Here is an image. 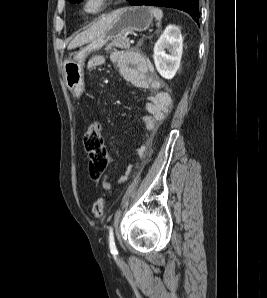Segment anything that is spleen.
<instances>
[{
    "instance_id": "3e777b00",
    "label": "spleen",
    "mask_w": 267,
    "mask_h": 298,
    "mask_svg": "<svg viewBox=\"0 0 267 298\" xmlns=\"http://www.w3.org/2000/svg\"><path fill=\"white\" fill-rule=\"evenodd\" d=\"M150 12L154 15L155 19L157 20V26L159 27L161 24V20L163 18V12L161 9L156 7H149Z\"/></svg>"
}]
</instances>
